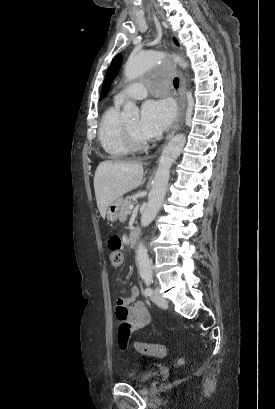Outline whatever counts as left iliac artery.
<instances>
[{"label":"left iliac artery","instance_id":"left-iliac-artery-1","mask_svg":"<svg viewBox=\"0 0 275 409\" xmlns=\"http://www.w3.org/2000/svg\"><path fill=\"white\" fill-rule=\"evenodd\" d=\"M143 279H144V282L146 284V289L144 291L145 295L152 296V294H153V289L151 288V285L153 283L152 276L149 275L147 277H143Z\"/></svg>","mask_w":275,"mask_h":409}]
</instances>
